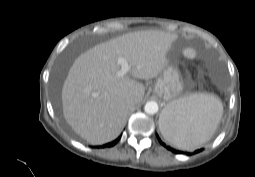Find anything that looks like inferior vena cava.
I'll use <instances>...</instances> for the list:
<instances>
[{
    "label": "inferior vena cava",
    "instance_id": "1",
    "mask_svg": "<svg viewBox=\"0 0 255 177\" xmlns=\"http://www.w3.org/2000/svg\"><path fill=\"white\" fill-rule=\"evenodd\" d=\"M134 105H135V102H134L133 99H128V100H127V106H128L129 108L134 107Z\"/></svg>",
    "mask_w": 255,
    "mask_h": 177
}]
</instances>
